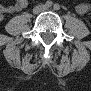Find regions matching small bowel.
I'll use <instances>...</instances> for the list:
<instances>
[{"label":"small bowel","instance_id":"obj_1","mask_svg":"<svg viewBox=\"0 0 91 91\" xmlns=\"http://www.w3.org/2000/svg\"><path fill=\"white\" fill-rule=\"evenodd\" d=\"M27 6L26 0H17L14 4L5 7L6 13H12L15 11H21ZM89 9L88 3H81L77 6L76 10L79 14H85Z\"/></svg>","mask_w":91,"mask_h":91}]
</instances>
